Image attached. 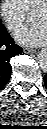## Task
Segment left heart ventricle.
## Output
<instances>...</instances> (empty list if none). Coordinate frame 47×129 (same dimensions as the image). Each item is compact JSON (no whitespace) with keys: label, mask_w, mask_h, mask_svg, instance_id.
Wrapping results in <instances>:
<instances>
[{"label":"left heart ventricle","mask_w":47,"mask_h":129,"mask_svg":"<svg viewBox=\"0 0 47 129\" xmlns=\"http://www.w3.org/2000/svg\"><path fill=\"white\" fill-rule=\"evenodd\" d=\"M46 13L44 10H37L33 13V20L35 21H41V22H46Z\"/></svg>","instance_id":"left-heart-ventricle-1"}]
</instances>
